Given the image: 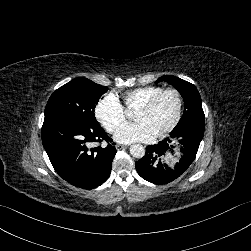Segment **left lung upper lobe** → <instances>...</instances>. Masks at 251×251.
I'll return each instance as SVG.
<instances>
[{"mask_svg":"<svg viewBox=\"0 0 251 251\" xmlns=\"http://www.w3.org/2000/svg\"><path fill=\"white\" fill-rule=\"evenodd\" d=\"M165 81L174 86L182 95L184 99V113L177 126L173 129L179 128H193L204 130L205 116L202 109L201 97L197 88L178 77L165 75L157 79L156 82Z\"/></svg>","mask_w":251,"mask_h":251,"instance_id":"1","label":"left lung upper lobe"}]
</instances>
